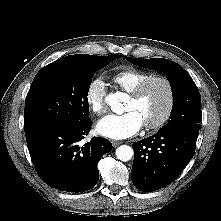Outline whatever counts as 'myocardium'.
<instances>
[{
  "label": "myocardium",
  "mask_w": 221,
  "mask_h": 221,
  "mask_svg": "<svg viewBox=\"0 0 221 221\" xmlns=\"http://www.w3.org/2000/svg\"><path fill=\"white\" fill-rule=\"evenodd\" d=\"M153 82H161L165 86L167 91V105L163 114L156 121L143 125L148 131H154L164 126L170 119L175 107V89L173 83L168 77L163 75H151L144 79L129 93L130 98L138 100Z\"/></svg>",
  "instance_id": "f54148a6"
}]
</instances>
